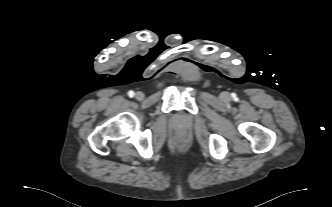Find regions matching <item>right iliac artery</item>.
I'll return each mask as SVG.
<instances>
[{"label": "right iliac artery", "mask_w": 332, "mask_h": 207, "mask_svg": "<svg viewBox=\"0 0 332 207\" xmlns=\"http://www.w3.org/2000/svg\"><path fill=\"white\" fill-rule=\"evenodd\" d=\"M128 96H129V97H133V96H134V92H133V91H129V92H128Z\"/></svg>", "instance_id": "obj_1"}]
</instances>
